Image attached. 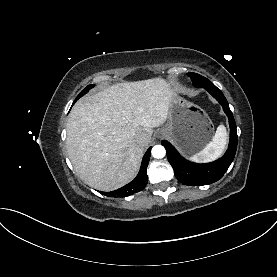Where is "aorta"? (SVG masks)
Segmentation results:
<instances>
[{
  "mask_svg": "<svg viewBox=\"0 0 277 277\" xmlns=\"http://www.w3.org/2000/svg\"><path fill=\"white\" fill-rule=\"evenodd\" d=\"M166 154V150L162 145H156L152 148V156L154 158H163Z\"/></svg>",
  "mask_w": 277,
  "mask_h": 277,
  "instance_id": "aorta-1",
  "label": "aorta"
}]
</instances>
